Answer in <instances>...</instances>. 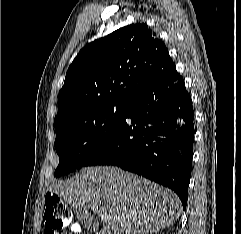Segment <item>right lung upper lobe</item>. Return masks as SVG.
Returning a JSON list of instances; mask_svg holds the SVG:
<instances>
[{
	"label": "right lung upper lobe",
	"mask_w": 241,
	"mask_h": 234,
	"mask_svg": "<svg viewBox=\"0 0 241 234\" xmlns=\"http://www.w3.org/2000/svg\"><path fill=\"white\" fill-rule=\"evenodd\" d=\"M161 39L144 23L122 27L80 50L59 92L55 130L87 110L129 104L173 65Z\"/></svg>",
	"instance_id": "cb5924a9"
}]
</instances>
